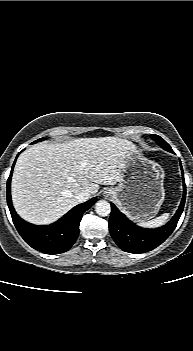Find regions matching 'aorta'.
Returning a JSON list of instances; mask_svg holds the SVG:
<instances>
[{
    "mask_svg": "<svg viewBox=\"0 0 193 351\" xmlns=\"http://www.w3.org/2000/svg\"><path fill=\"white\" fill-rule=\"evenodd\" d=\"M95 211L99 216H107L111 212V206L108 201L100 200L95 204Z\"/></svg>",
    "mask_w": 193,
    "mask_h": 351,
    "instance_id": "obj_1",
    "label": "aorta"
}]
</instances>
